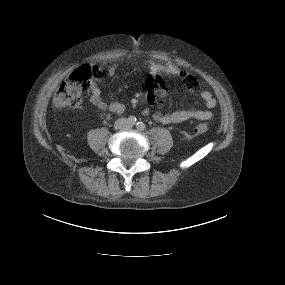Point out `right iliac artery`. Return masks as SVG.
Returning a JSON list of instances; mask_svg holds the SVG:
<instances>
[{"mask_svg":"<svg viewBox=\"0 0 285 285\" xmlns=\"http://www.w3.org/2000/svg\"><path fill=\"white\" fill-rule=\"evenodd\" d=\"M129 124L134 125L136 123V118L134 116L129 117L128 119Z\"/></svg>","mask_w":285,"mask_h":285,"instance_id":"82829eb1","label":"right iliac artery"}]
</instances>
